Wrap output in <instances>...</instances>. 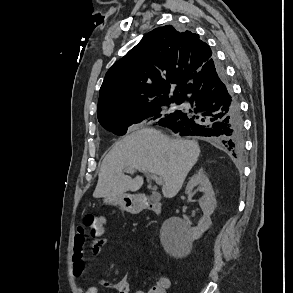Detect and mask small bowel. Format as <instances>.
<instances>
[{"mask_svg":"<svg viewBox=\"0 0 293 293\" xmlns=\"http://www.w3.org/2000/svg\"><path fill=\"white\" fill-rule=\"evenodd\" d=\"M105 230L102 235L98 237H89L83 230H79L74 239L73 254H72V270L76 276H83L87 271V262L90 256H97L101 254L104 247L112 244L111 240L104 236ZM90 241V248L87 249V242ZM121 251H124L122 245H118ZM100 282L115 290L117 293H144V291L136 289L132 290L130 281L127 275H124L117 283H110L104 279ZM159 283L163 286V293H166L170 287V281L167 278H161ZM98 288L95 286H87L81 290V293H98Z\"/></svg>","mask_w":293,"mask_h":293,"instance_id":"1","label":"small bowel"}]
</instances>
